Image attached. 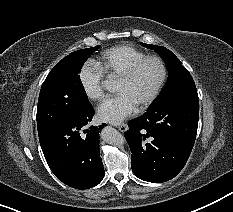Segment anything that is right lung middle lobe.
Instances as JSON below:
<instances>
[{
  "instance_id": "1",
  "label": "right lung middle lobe",
  "mask_w": 233,
  "mask_h": 212,
  "mask_svg": "<svg viewBox=\"0 0 233 212\" xmlns=\"http://www.w3.org/2000/svg\"><path fill=\"white\" fill-rule=\"evenodd\" d=\"M99 47L75 51L63 58L50 71L42 84L38 100L39 134L64 120H72L92 108L79 72L90 54Z\"/></svg>"
}]
</instances>
